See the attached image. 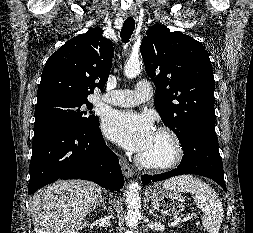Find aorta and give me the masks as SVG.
Segmentation results:
<instances>
[{
  "label": "aorta",
  "mask_w": 253,
  "mask_h": 233,
  "mask_svg": "<svg viewBox=\"0 0 253 233\" xmlns=\"http://www.w3.org/2000/svg\"><path fill=\"white\" fill-rule=\"evenodd\" d=\"M141 67L142 64L139 59H131L126 63L124 73L129 79L135 78L140 74ZM126 200L128 209L126 223L127 225L134 227L138 224V221L141 217V198L138 192L137 183L131 182L128 185L126 191Z\"/></svg>",
  "instance_id": "762f6f07"
}]
</instances>
